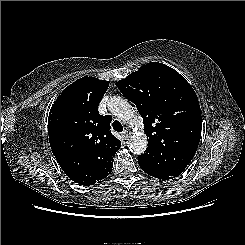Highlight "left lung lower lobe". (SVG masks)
<instances>
[{"label":"left lung lower lobe","mask_w":245,"mask_h":245,"mask_svg":"<svg viewBox=\"0 0 245 245\" xmlns=\"http://www.w3.org/2000/svg\"><path fill=\"white\" fill-rule=\"evenodd\" d=\"M144 172H146L147 174L155 177V178H158V179H162V180H168V179H172L174 177H171V176H164L158 172H155V171H151V170H148V169H145V168H141Z\"/></svg>","instance_id":"1"}]
</instances>
